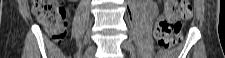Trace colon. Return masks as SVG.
<instances>
[{
  "label": "colon",
  "mask_w": 225,
  "mask_h": 58,
  "mask_svg": "<svg viewBox=\"0 0 225 58\" xmlns=\"http://www.w3.org/2000/svg\"><path fill=\"white\" fill-rule=\"evenodd\" d=\"M33 13L46 30L50 39L61 42L68 28L67 8L58 0H36ZM190 0H167L162 15L154 28V38L163 49H170L180 41L182 22L190 18Z\"/></svg>",
  "instance_id": "1"
}]
</instances>
